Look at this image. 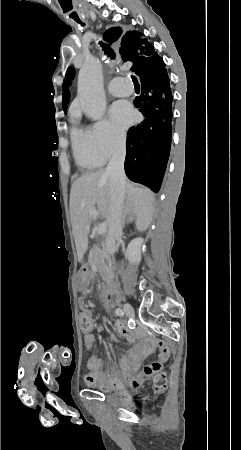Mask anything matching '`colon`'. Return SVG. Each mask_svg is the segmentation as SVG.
Masks as SVG:
<instances>
[{
  "label": "colon",
  "mask_w": 241,
  "mask_h": 450,
  "mask_svg": "<svg viewBox=\"0 0 241 450\" xmlns=\"http://www.w3.org/2000/svg\"><path fill=\"white\" fill-rule=\"evenodd\" d=\"M79 327L82 332L93 330V315L86 314L79 317ZM153 387L157 393H160L167 387V379L164 372L161 371L159 376H154Z\"/></svg>",
  "instance_id": "1"
}]
</instances>
